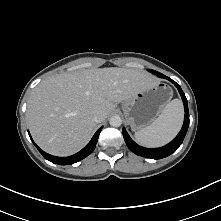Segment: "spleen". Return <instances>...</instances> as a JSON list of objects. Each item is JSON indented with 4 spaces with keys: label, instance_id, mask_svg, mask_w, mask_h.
Segmentation results:
<instances>
[{
    "label": "spleen",
    "instance_id": "1",
    "mask_svg": "<svg viewBox=\"0 0 221 221\" xmlns=\"http://www.w3.org/2000/svg\"><path fill=\"white\" fill-rule=\"evenodd\" d=\"M183 121V106L179 99L170 101L149 126L135 132V140L145 147H159L172 140Z\"/></svg>",
    "mask_w": 221,
    "mask_h": 221
}]
</instances>
